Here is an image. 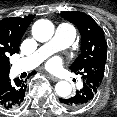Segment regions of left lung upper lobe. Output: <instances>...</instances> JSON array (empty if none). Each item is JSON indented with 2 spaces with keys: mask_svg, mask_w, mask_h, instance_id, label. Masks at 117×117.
<instances>
[{
  "mask_svg": "<svg viewBox=\"0 0 117 117\" xmlns=\"http://www.w3.org/2000/svg\"><path fill=\"white\" fill-rule=\"evenodd\" d=\"M61 15L75 24L81 34V54L70 66L72 72L81 74L83 83L96 93L100 89L107 58L104 31L94 19L82 12H62Z\"/></svg>",
  "mask_w": 117,
  "mask_h": 117,
  "instance_id": "1",
  "label": "left lung upper lobe"
}]
</instances>
